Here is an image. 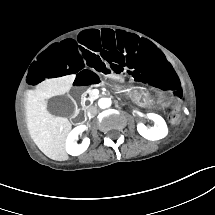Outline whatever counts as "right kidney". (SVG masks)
<instances>
[{
    "label": "right kidney",
    "instance_id": "1",
    "mask_svg": "<svg viewBox=\"0 0 215 215\" xmlns=\"http://www.w3.org/2000/svg\"><path fill=\"white\" fill-rule=\"evenodd\" d=\"M78 131H74V129L69 133L66 140V152L72 156H78L85 152L90 144L89 138H84L81 144L76 143V139L78 138L79 133H82L86 130L85 125H79Z\"/></svg>",
    "mask_w": 215,
    "mask_h": 215
}]
</instances>
